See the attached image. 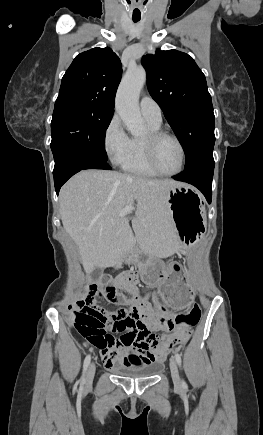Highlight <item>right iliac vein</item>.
I'll use <instances>...</instances> for the list:
<instances>
[{
	"instance_id": "obj_1",
	"label": "right iliac vein",
	"mask_w": 263,
	"mask_h": 435,
	"mask_svg": "<svg viewBox=\"0 0 263 435\" xmlns=\"http://www.w3.org/2000/svg\"><path fill=\"white\" fill-rule=\"evenodd\" d=\"M95 370H96V366L94 363H92L89 366L88 372H87V377H86V384L89 385L92 383L94 375H95Z\"/></svg>"
}]
</instances>
